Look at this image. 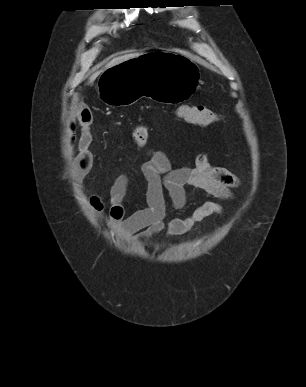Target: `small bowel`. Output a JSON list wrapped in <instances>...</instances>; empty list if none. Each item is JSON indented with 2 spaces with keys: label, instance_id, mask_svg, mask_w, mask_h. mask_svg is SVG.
<instances>
[{
  "label": "small bowel",
  "instance_id": "obj_1",
  "mask_svg": "<svg viewBox=\"0 0 306 387\" xmlns=\"http://www.w3.org/2000/svg\"><path fill=\"white\" fill-rule=\"evenodd\" d=\"M92 121V114L88 109L79 112L80 133L76 140L77 154L74 161V171L79 179L83 178L93 165V154L89 149L92 142ZM71 129L74 130V126ZM74 142L73 137L72 143ZM147 156L148 159L141 168L147 184L145 208L129 216L125 215L123 200L129 186L126 173L119 174L110 188L108 219L117 232L142 238H152L161 232L168 236H179L188 233L198 222L223 214V206L219 202L205 201L190 215L166 221L165 192L176 211L183 210L187 204L188 186L201 189L223 201H231L234 198L233 189L239 185L238 177L226 168L214 166L208 153L198 154L193 166L178 168L172 167L168 156L162 151L149 149ZM88 202L99 217L106 209L105 202L98 193L90 195Z\"/></svg>",
  "mask_w": 306,
  "mask_h": 387
}]
</instances>
